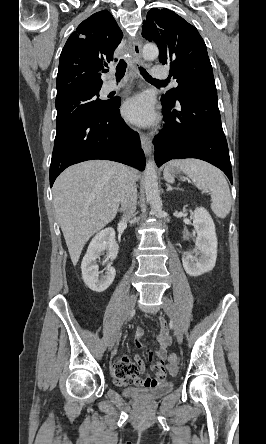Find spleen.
I'll use <instances>...</instances> for the list:
<instances>
[{
    "label": "spleen",
    "instance_id": "obj_1",
    "mask_svg": "<svg viewBox=\"0 0 266 444\" xmlns=\"http://www.w3.org/2000/svg\"><path fill=\"white\" fill-rule=\"evenodd\" d=\"M176 167L187 174L200 190L211 192V209L219 218H225L231 209V194L224 174L211 164L199 159L172 160L164 171ZM169 181L174 179L167 178Z\"/></svg>",
    "mask_w": 266,
    "mask_h": 444
}]
</instances>
